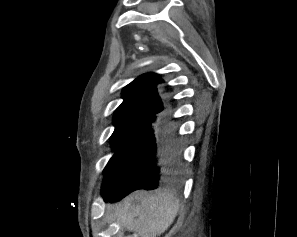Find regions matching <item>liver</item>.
I'll use <instances>...</instances> for the list:
<instances>
[{
    "mask_svg": "<svg viewBox=\"0 0 297 237\" xmlns=\"http://www.w3.org/2000/svg\"><path fill=\"white\" fill-rule=\"evenodd\" d=\"M114 209L117 220L128 231L137 232L140 237H159L174 222L179 203L167 191L154 194L139 191L116 204Z\"/></svg>",
    "mask_w": 297,
    "mask_h": 237,
    "instance_id": "liver-1",
    "label": "liver"
}]
</instances>
